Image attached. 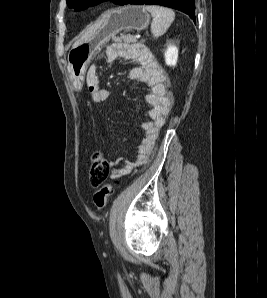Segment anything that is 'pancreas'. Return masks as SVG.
<instances>
[{
  "label": "pancreas",
  "mask_w": 267,
  "mask_h": 298,
  "mask_svg": "<svg viewBox=\"0 0 267 298\" xmlns=\"http://www.w3.org/2000/svg\"><path fill=\"white\" fill-rule=\"evenodd\" d=\"M120 39L126 43H135L136 42V38L132 35H124V36H121Z\"/></svg>",
  "instance_id": "cf45deb5"
}]
</instances>
